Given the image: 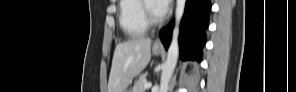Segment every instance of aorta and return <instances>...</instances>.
I'll use <instances>...</instances> for the list:
<instances>
[{"mask_svg":"<svg viewBox=\"0 0 296 92\" xmlns=\"http://www.w3.org/2000/svg\"><path fill=\"white\" fill-rule=\"evenodd\" d=\"M185 5H186V0L176 1L175 27L173 30L172 41L168 48L167 59L162 69L161 80H160V92L168 91L169 82L177 63V58L179 53V47H178L179 24L184 14Z\"/></svg>","mask_w":296,"mask_h":92,"instance_id":"762f6f07","label":"aorta"}]
</instances>
